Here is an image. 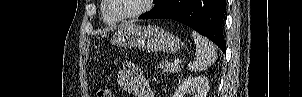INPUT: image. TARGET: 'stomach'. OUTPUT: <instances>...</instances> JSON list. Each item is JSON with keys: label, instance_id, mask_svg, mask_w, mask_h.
<instances>
[{"label": "stomach", "instance_id": "0dacf381", "mask_svg": "<svg viewBox=\"0 0 302 97\" xmlns=\"http://www.w3.org/2000/svg\"><path fill=\"white\" fill-rule=\"evenodd\" d=\"M112 43L120 47H140L149 52L176 53L180 39L155 25L141 26L129 23L122 26L113 36Z\"/></svg>", "mask_w": 302, "mask_h": 97}]
</instances>
